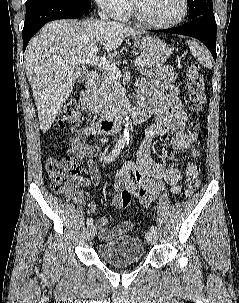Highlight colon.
<instances>
[{
  "label": "colon",
  "mask_w": 239,
  "mask_h": 303,
  "mask_svg": "<svg viewBox=\"0 0 239 303\" xmlns=\"http://www.w3.org/2000/svg\"><path fill=\"white\" fill-rule=\"evenodd\" d=\"M185 76L191 111L193 114H199L206 102L204 75L196 63H191L186 69ZM79 120L78 105L75 100H69L61 112L59 124L61 127H74ZM192 126L196 129L198 124L194 123ZM197 154V150L193 149L190 153L191 159H194ZM81 167V162L75 157L49 158L45 162V170L49 175L52 191L57 195L79 200L81 192L78 176ZM185 174L186 189L184 194L189 197L199 186V167L190 161L186 166ZM119 198L122 207L126 208L131 204L132 196L129 191H123Z\"/></svg>",
  "instance_id": "5ec220e1"
}]
</instances>
